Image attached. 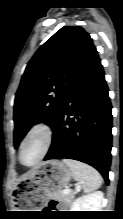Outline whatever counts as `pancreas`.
<instances>
[{
  "instance_id": "cf45deb5",
  "label": "pancreas",
  "mask_w": 123,
  "mask_h": 219,
  "mask_svg": "<svg viewBox=\"0 0 123 219\" xmlns=\"http://www.w3.org/2000/svg\"><path fill=\"white\" fill-rule=\"evenodd\" d=\"M54 197L59 201L65 202L67 204H71L74 199V195L72 193L64 194L62 191L57 193Z\"/></svg>"
}]
</instances>
